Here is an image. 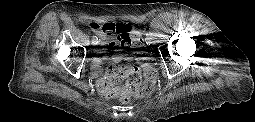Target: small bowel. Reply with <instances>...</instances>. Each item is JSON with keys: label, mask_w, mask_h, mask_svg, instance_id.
Masks as SVG:
<instances>
[{"label": "small bowel", "mask_w": 255, "mask_h": 122, "mask_svg": "<svg viewBox=\"0 0 255 122\" xmlns=\"http://www.w3.org/2000/svg\"><path fill=\"white\" fill-rule=\"evenodd\" d=\"M97 38L100 41L101 46L108 45L109 47H119V46H126L125 45V38L123 36H117V38L113 41L108 42V35L107 33L103 32L102 30H99L96 32ZM131 56L128 54H118L114 56V61L119 62L122 60H130ZM100 60H95L92 64V68L94 71H97L100 67ZM100 82V81H99ZM99 85V83H98Z\"/></svg>", "instance_id": "1"}]
</instances>
